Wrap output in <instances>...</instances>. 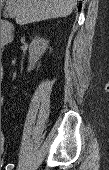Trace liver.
I'll return each mask as SVG.
<instances>
[{
    "instance_id": "6515ba94",
    "label": "liver",
    "mask_w": 109,
    "mask_h": 170,
    "mask_svg": "<svg viewBox=\"0 0 109 170\" xmlns=\"http://www.w3.org/2000/svg\"><path fill=\"white\" fill-rule=\"evenodd\" d=\"M6 2L13 8L19 25L67 17L77 4V0H6Z\"/></svg>"
}]
</instances>
